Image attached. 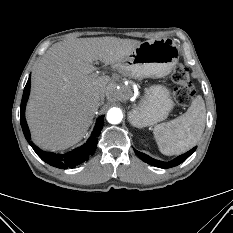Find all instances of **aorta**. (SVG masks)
<instances>
[{"mask_svg":"<svg viewBox=\"0 0 233 233\" xmlns=\"http://www.w3.org/2000/svg\"><path fill=\"white\" fill-rule=\"evenodd\" d=\"M123 114L119 108H111L107 113V121L111 124H118L122 121Z\"/></svg>","mask_w":233,"mask_h":233,"instance_id":"obj_1","label":"aorta"}]
</instances>
